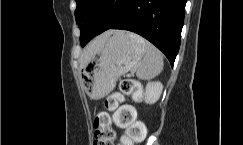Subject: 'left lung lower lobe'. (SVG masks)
Segmentation results:
<instances>
[{
    "label": "left lung lower lobe",
    "mask_w": 243,
    "mask_h": 145,
    "mask_svg": "<svg viewBox=\"0 0 243 145\" xmlns=\"http://www.w3.org/2000/svg\"><path fill=\"white\" fill-rule=\"evenodd\" d=\"M185 5L186 0H124L113 16H91L87 21L90 33L82 46L110 28L128 30L153 43L173 66L180 47Z\"/></svg>",
    "instance_id": "0a47b994"
}]
</instances>
